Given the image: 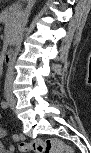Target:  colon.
I'll return each mask as SVG.
<instances>
[{
    "mask_svg": "<svg viewBox=\"0 0 91 153\" xmlns=\"http://www.w3.org/2000/svg\"><path fill=\"white\" fill-rule=\"evenodd\" d=\"M17 148L22 152L35 153H72L73 150L59 138L34 139L26 142L24 139L16 140Z\"/></svg>",
    "mask_w": 91,
    "mask_h": 153,
    "instance_id": "obj_1",
    "label": "colon"
}]
</instances>
